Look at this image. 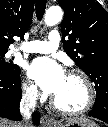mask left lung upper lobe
<instances>
[{
	"label": "left lung upper lobe",
	"mask_w": 108,
	"mask_h": 127,
	"mask_svg": "<svg viewBox=\"0 0 108 127\" xmlns=\"http://www.w3.org/2000/svg\"><path fill=\"white\" fill-rule=\"evenodd\" d=\"M58 4L64 10L65 52L95 84V101L108 102V13L94 0H58Z\"/></svg>",
	"instance_id": "left-lung-upper-lobe-1"
}]
</instances>
